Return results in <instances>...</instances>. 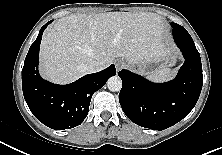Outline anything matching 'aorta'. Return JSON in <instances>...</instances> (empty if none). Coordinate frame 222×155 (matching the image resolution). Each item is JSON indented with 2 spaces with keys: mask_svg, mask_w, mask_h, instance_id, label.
<instances>
[{
  "mask_svg": "<svg viewBox=\"0 0 222 155\" xmlns=\"http://www.w3.org/2000/svg\"><path fill=\"white\" fill-rule=\"evenodd\" d=\"M107 87L112 92H118L122 88V80L118 76H113L108 79Z\"/></svg>",
  "mask_w": 222,
  "mask_h": 155,
  "instance_id": "762f6f07",
  "label": "aorta"
}]
</instances>
